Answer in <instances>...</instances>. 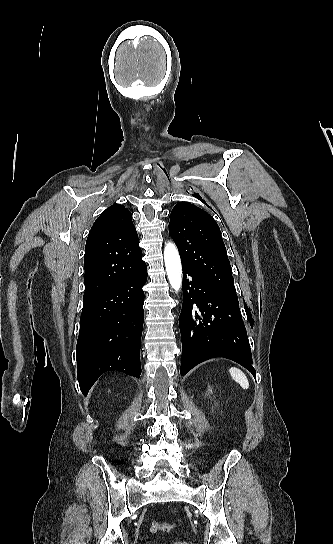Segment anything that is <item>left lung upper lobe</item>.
<instances>
[{
	"mask_svg": "<svg viewBox=\"0 0 333 544\" xmlns=\"http://www.w3.org/2000/svg\"><path fill=\"white\" fill-rule=\"evenodd\" d=\"M169 233L178 247L182 265L190 267L239 304L230 262L215 220L201 208L181 202L170 214Z\"/></svg>",
	"mask_w": 333,
	"mask_h": 544,
	"instance_id": "left-lung-upper-lobe-1",
	"label": "left lung upper lobe"
}]
</instances>
